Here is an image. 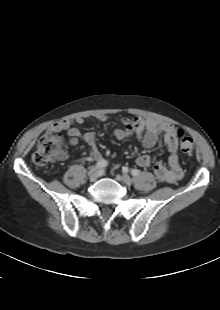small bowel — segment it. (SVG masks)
<instances>
[{
	"mask_svg": "<svg viewBox=\"0 0 220 310\" xmlns=\"http://www.w3.org/2000/svg\"><path fill=\"white\" fill-rule=\"evenodd\" d=\"M97 120L104 122L108 120V117L98 115ZM75 122L82 124L84 119L79 117ZM120 123L122 128L115 129L114 136L121 140L136 135L146 149L153 148L158 138L162 136L169 157L168 165L161 162L153 164V174L158 181L174 184L183 178V170L179 161L178 132L180 129L177 126L168 122L141 117L122 118ZM51 130L65 132L69 137L71 146H77L79 141L82 140L90 147V157L93 161L98 163L103 160V156L97 147V138L94 132H81L74 126V121L70 119L55 123L52 125ZM151 163V158L148 155H140L136 158V164L142 168L149 167Z\"/></svg>",
	"mask_w": 220,
	"mask_h": 310,
	"instance_id": "obj_1",
	"label": "small bowel"
}]
</instances>
